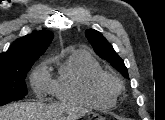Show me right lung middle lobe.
<instances>
[{"instance_id":"dd1d6c3e","label":"right lung middle lobe","mask_w":165,"mask_h":120,"mask_svg":"<svg viewBox=\"0 0 165 120\" xmlns=\"http://www.w3.org/2000/svg\"><path fill=\"white\" fill-rule=\"evenodd\" d=\"M35 60L0 63V106L27 95L25 78Z\"/></svg>"}]
</instances>
